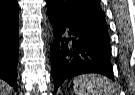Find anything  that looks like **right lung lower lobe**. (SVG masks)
Here are the masks:
<instances>
[{
	"mask_svg": "<svg viewBox=\"0 0 135 95\" xmlns=\"http://www.w3.org/2000/svg\"><path fill=\"white\" fill-rule=\"evenodd\" d=\"M19 18H0V79L16 90Z\"/></svg>",
	"mask_w": 135,
	"mask_h": 95,
	"instance_id": "98d812e1",
	"label": "right lung lower lobe"
}]
</instances>
